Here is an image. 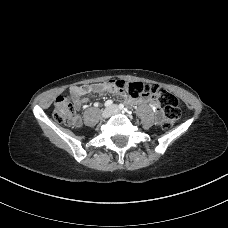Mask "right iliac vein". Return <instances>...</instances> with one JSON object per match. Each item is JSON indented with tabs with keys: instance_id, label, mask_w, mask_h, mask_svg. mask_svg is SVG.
Listing matches in <instances>:
<instances>
[{
	"instance_id": "right-iliac-vein-1",
	"label": "right iliac vein",
	"mask_w": 228,
	"mask_h": 228,
	"mask_svg": "<svg viewBox=\"0 0 228 228\" xmlns=\"http://www.w3.org/2000/svg\"><path fill=\"white\" fill-rule=\"evenodd\" d=\"M112 115V109L111 108H105L102 112V117L107 119Z\"/></svg>"
}]
</instances>
